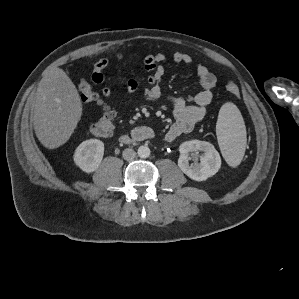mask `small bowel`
<instances>
[{"mask_svg": "<svg viewBox=\"0 0 299 299\" xmlns=\"http://www.w3.org/2000/svg\"><path fill=\"white\" fill-rule=\"evenodd\" d=\"M136 57V51L117 55L118 60L135 59ZM165 60L166 56L163 53H151L143 59L145 68L149 72V86L143 90V96L148 101H157L161 97V81L165 74L163 64ZM173 60L176 63L190 64L192 57L187 53L175 52ZM108 66L109 60L107 58L99 59L94 64L92 80L95 84L102 85L101 92L105 97H113L115 94L112 89L104 84L103 72ZM196 73L201 88L197 94L188 97H169L168 99L175 121L165 132L163 137L165 141H173L180 135L190 133L195 125L207 115V108L213 101V90L216 87L217 78L207 67L201 64L197 65ZM138 87V82L133 78L125 81V90L128 93L137 91Z\"/></svg>", "mask_w": 299, "mask_h": 299, "instance_id": "obj_1", "label": "small bowel"}]
</instances>
